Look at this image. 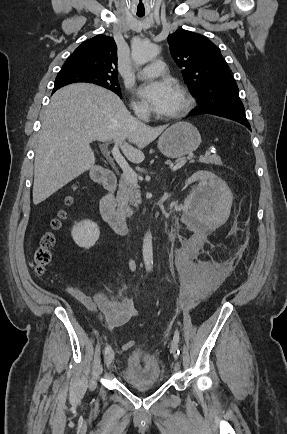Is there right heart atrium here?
<instances>
[{
  "label": "right heart atrium",
  "instance_id": "d8ad5b80",
  "mask_svg": "<svg viewBox=\"0 0 287 434\" xmlns=\"http://www.w3.org/2000/svg\"><path fill=\"white\" fill-rule=\"evenodd\" d=\"M132 108L137 114H146L148 113V107L146 104L140 101H133Z\"/></svg>",
  "mask_w": 287,
  "mask_h": 434
}]
</instances>
